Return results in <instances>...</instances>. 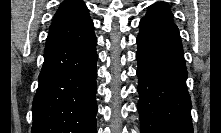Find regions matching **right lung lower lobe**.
<instances>
[{
    "mask_svg": "<svg viewBox=\"0 0 221 133\" xmlns=\"http://www.w3.org/2000/svg\"><path fill=\"white\" fill-rule=\"evenodd\" d=\"M96 43L93 32L77 44L46 45L32 133H96Z\"/></svg>",
    "mask_w": 221,
    "mask_h": 133,
    "instance_id": "1",
    "label": "right lung lower lobe"
}]
</instances>
